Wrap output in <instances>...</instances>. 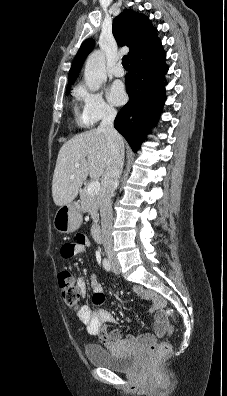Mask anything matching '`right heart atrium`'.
<instances>
[{"label": "right heart atrium", "instance_id": "1", "mask_svg": "<svg viewBox=\"0 0 227 396\" xmlns=\"http://www.w3.org/2000/svg\"><path fill=\"white\" fill-rule=\"evenodd\" d=\"M75 95L82 104V116L89 124L112 119L117 114L116 109L104 99L101 92L80 86Z\"/></svg>", "mask_w": 227, "mask_h": 396}]
</instances>
